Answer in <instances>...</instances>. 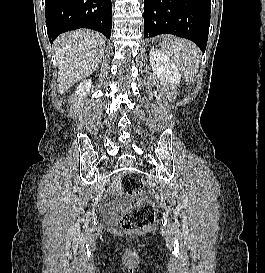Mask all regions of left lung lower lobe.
Instances as JSON below:
<instances>
[{
  "label": "left lung lower lobe",
  "instance_id": "obj_1",
  "mask_svg": "<svg viewBox=\"0 0 265 273\" xmlns=\"http://www.w3.org/2000/svg\"><path fill=\"white\" fill-rule=\"evenodd\" d=\"M210 11V0H144V38L173 34L205 52Z\"/></svg>",
  "mask_w": 265,
  "mask_h": 273
}]
</instances>
